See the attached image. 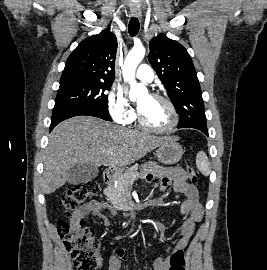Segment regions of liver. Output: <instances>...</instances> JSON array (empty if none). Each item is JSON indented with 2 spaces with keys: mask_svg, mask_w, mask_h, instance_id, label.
Instances as JSON below:
<instances>
[{
  "mask_svg": "<svg viewBox=\"0 0 267 270\" xmlns=\"http://www.w3.org/2000/svg\"><path fill=\"white\" fill-rule=\"evenodd\" d=\"M168 139L129 130L96 117L77 116L65 120L49 136L44 155L43 190L51 194L61 188L75 164L121 169Z\"/></svg>",
  "mask_w": 267,
  "mask_h": 270,
  "instance_id": "1",
  "label": "liver"
}]
</instances>
